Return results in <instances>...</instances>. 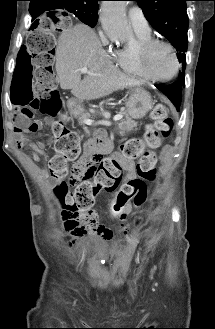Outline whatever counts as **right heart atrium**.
Segmentation results:
<instances>
[{
    "mask_svg": "<svg viewBox=\"0 0 215 329\" xmlns=\"http://www.w3.org/2000/svg\"><path fill=\"white\" fill-rule=\"evenodd\" d=\"M99 35H100V39H101V42L103 43V45H109L110 44L109 39L107 38V36L105 35V33L103 31H100Z\"/></svg>",
    "mask_w": 215,
    "mask_h": 329,
    "instance_id": "d8ad5b80",
    "label": "right heart atrium"
}]
</instances>
